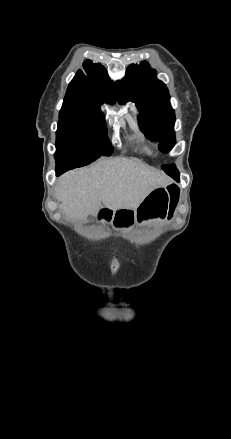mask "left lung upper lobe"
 <instances>
[{
    "instance_id": "5c2ea615",
    "label": "left lung upper lobe",
    "mask_w": 231,
    "mask_h": 439,
    "mask_svg": "<svg viewBox=\"0 0 231 439\" xmlns=\"http://www.w3.org/2000/svg\"><path fill=\"white\" fill-rule=\"evenodd\" d=\"M121 85L120 100L136 104L140 112L139 127L145 136L159 141L160 151H170L175 144V114L168 89L162 81L156 79V71L145 61L139 65L131 64ZM162 168L171 177H179L175 165H163Z\"/></svg>"
}]
</instances>
